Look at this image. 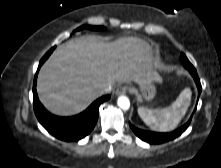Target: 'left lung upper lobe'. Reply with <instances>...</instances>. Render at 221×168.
I'll list each match as a JSON object with an SVG mask.
<instances>
[{
	"instance_id": "5c2ea615",
	"label": "left lung upper lobe",
	"mask_w": 221,
	"mask_h": 168,
	"mask_svg": "<svg viewBox=\"0 0 221 168\" xmlns=\"http://www.w3.org/2000/svg\"><path fill=\"white\" fill-rule=\"evenodd\" d=\"M181 62L183 64V66L189 70V72L195 71V68L193 67V65L189 62V60L187 59V57L182 53L180 56Z\"/></svg>"
}]
</instances>
